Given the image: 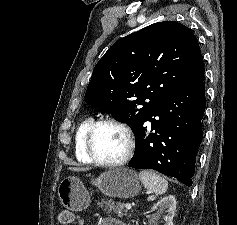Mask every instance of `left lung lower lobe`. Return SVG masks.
<instances>
[{"label": "left lung lower lobe", "instance_id": "left-lung-lower-lobe-1", "mask_svg": "<svg viewBox=\"0 0 237 225\" xmlns=\"http://www.w3.org/2000/svg\"><path fill=\"white\" fill-rule=\"evenodd\" d=\"M204 110L203 81L164 97L135 129V152L128 166L154 169L191 186Z\"/></svg>", "mask_w": 237, "mask_h": 225}]
</instances>
